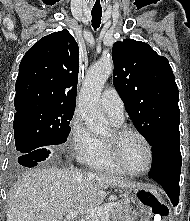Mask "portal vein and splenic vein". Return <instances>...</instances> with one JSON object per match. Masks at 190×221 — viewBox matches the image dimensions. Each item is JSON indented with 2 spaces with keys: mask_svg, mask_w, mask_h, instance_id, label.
Returning <instances> with one entry per match:
<instances>
[{
  "mask_svg": "<svg viewBox=\"0 0 190 221\" xmlns=\"http://www.w3.org/2000/svg\"><path fill=\"white\" fill-rule=\"evenodd\" d=\"M119 202H112L107 204L104 207H91L87 210V215L90 218H101L102 221H109L110 212L114 207L119 206ZM78 216V212H71L70 214L66 215V220H74Z\"/></svg>",
  "mask_w": 190,
  "mask_h": 221,
  "instance_id": "18ae733b",
  "label": "portal vein and splenic vein"
}]
</instances>
